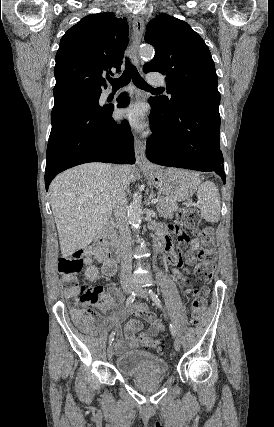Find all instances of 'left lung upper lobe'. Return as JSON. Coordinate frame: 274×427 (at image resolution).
I'll return each mask as SVG.
<instances>
[{
    "instance_id": "obj_1",
    "label": "left lung upper lobe",
    "mask_w": 274,
    "mask_h": 427,
    "mask_svg": "<svg viewBox=\"0 0 274 427\" xmlns=\"http://www.w3.org/2000/svg\"><path fill=\"white\" fill-rule=\"evenodd\" d=\"M145 41L155 48V56L143 67L145 73L166 75L167 93L151 97L166 109L186 104L219 108L218 77L208 46L184 21L162 13L147 25Z\"/></svg>"
}]
</instances>
